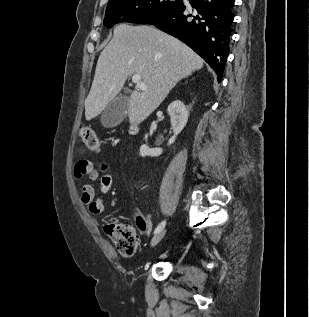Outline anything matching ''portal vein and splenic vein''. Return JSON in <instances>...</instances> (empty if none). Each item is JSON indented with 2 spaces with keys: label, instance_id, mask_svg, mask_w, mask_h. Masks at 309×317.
<instances>
[{
  "label": "portal vein and splenic vein",
  "instance_id": "portal-vein-and-splenic-vein-1",
  "mask_svg": "<svg viewBox=\"0 0 309 317\" xmlns=\"http://www.w3.org/2000/svg\"><path fill=\"white\" fill-rule=\"evenodd\" d=\"M132 82L136 84V87L141 90H146V85L141 81V76L139 74H134L132 76Z\"/></svg>",
  "mask_w": 309,
  "mask_h": 317
}]
</instances>
